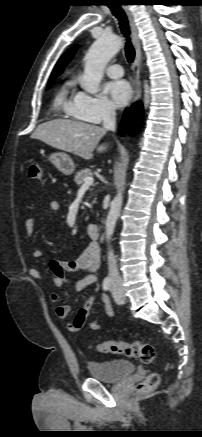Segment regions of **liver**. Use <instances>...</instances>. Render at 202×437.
Masks as SVG:
<instances>
[{"label":"liver","mask_w":202,"mask_h":437,"mask_svg":"<svg viewBox=\"0 0 202 437\" xmlns=\"http://www.w3.org/2000/svg\"><path fill=\"white\" fill-rule=\"evenodd\" d=\"M105 134L106 129L97 125L57 119L40 124L31 135V138L90 160L93 157L95 148L99 153L107 149V144L97 147L98 142Z\"/></svg>","instance_id":"6515ba94"}]
</instances>
